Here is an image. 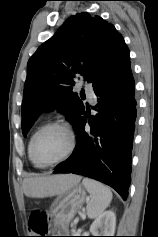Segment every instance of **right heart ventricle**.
<instances>
[{
    "label": "right heart ventricle",
    "instance_id": "obj_1",
    "mask_svg": "<svg viewBox=\"0 0 158 237\" xmlns=\"http://www.w3.org/2000/svg\"><path fill=\"white\" fill-rule=\"evenodd\" d=\"M33 135H34V134L31 135V137H30V139H29V142H28V156H29L30 161H31L32 163H33V161H32L31 156H30V145H31V139H32V136H33ZM33 165H34L36 168H41V167L37 166V165L34 164V163H33Z\"/></svg>",
    "mask_w": 158,
    "mask_h": 237
}]
</instances>
